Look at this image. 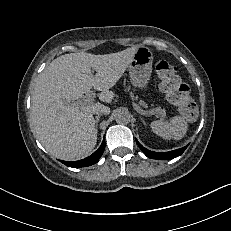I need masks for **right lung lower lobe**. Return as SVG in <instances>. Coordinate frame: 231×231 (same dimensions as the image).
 Here are the masks:
<instances>
[{"label": "right lung lower lobe", "mask_w": 231, "mask_h": 231, "mask_svg": "<svg viewBox=\"0 0 231 231\" xmlns=\"http://www.w3.org/2000/svg\"><path fill=\"white\" fill-rule=\"evenodd\" d=\"M104 149H105V140H103L98 150L95 151L92 155L88 156L87 158L79 161H73V162L70 161H61V162L68 167H74V168L91 166L99 160V158L104 152Z\"/></svg>", "instance_id": "right-lung-lower-lobe-1"}]
</instances>
